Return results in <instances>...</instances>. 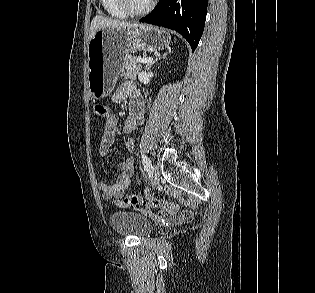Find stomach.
<instances>
[{
	"label": "stomach",
	"instance_id": "0dacf381",
	"mask_svg": "<svg viewBox=\"0 0 315 293\" xmlns=\"http://www.w3.org/2000/svg\"><path fill=\"white\" fill-rule=\"evenodd\" d=\"M164 29L146 24L99 29L88 45V87L92 99L109 95L123 70L124 58L136 51H160L169 46Z\"/></svg>",
	"mask_w": 315,
	"mask_h": 293
}]
</instances>
